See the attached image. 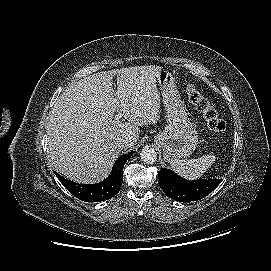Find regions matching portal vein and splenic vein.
I'll list each match as a JSON object with an SVG mask.
<instances>
[{
  "mask_svg": "<svg viewBox=\"0 0 271 271\" xmlns=\"http://www.w3.org/2000/svg\"><path fill=\"white\" fill-rule=\"evenodd\" d=\"M122 117V114L121 113H118L114 116L115 120H120Z\"/></svg>",
  "mask_w": 271,
  "mask_h": 271,
  "instance_id": "portal-vein-and-splenic-vein-1",
  "label": "portal vein and splenic vein"
}]
</instances>
